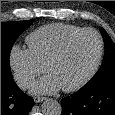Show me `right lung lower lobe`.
I'll list each match as a JSON object with an SVG mask.
<instances>
[{
  "mask_svg": "<svg viewBox=\"0 0 115 115\" xmlns=\"http://www.w3.org/2000/svg\"><path fill=\"white\" fill-rule=\"evenodd\" d=\"M32 97L22 92L13 79L1 80V115H28Z\"/></svg>",
  "mask_w": 115,
  "mask_h": 115,
  "instance_id": "obj_1",
  "label": "right lung lower lobe"
}]
</instances>
